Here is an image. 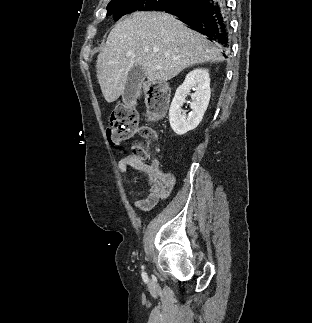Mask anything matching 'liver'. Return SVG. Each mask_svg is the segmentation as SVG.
I'll return each instance as SVG.
<instances>
[{
	"instance_id": "liver-1",
	"label": "liver",
	"mask_w": 312,
	"mask_h": 323,
	"mask_svg": "<svg viewBox=\"0 0 312 323\" xmlns=\"http://www.w3.org/2000/svg\"><path fill=\"white\" fill-rule=\"evenodd\" d=\"M221 52L207 36L190 30L176 16L134 12L111 30L97 58V78L106 102H115L134 66H142L148 82H168L189 66L223 62Z\"/></svg>"
}]
</instances>
